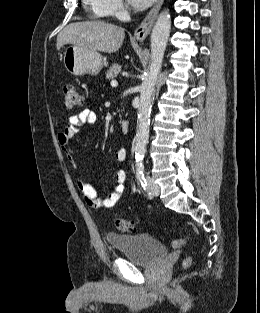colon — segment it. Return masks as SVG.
Returning a JSON list of instances; mask_svg holds the SVG:
<instances>
[{"instance_id":"colon-1","label":"colon","mask_w":260,"mask_h":313,"mask_svg":"<svg viewBox=\"0 0 260 313\" xmlns=\"http://www.w3.org/2000/svg\"><path fill=\"white\" fill-rule=\"evenodd\" d=\"M63 101L64 105L68 109L80 107L83 104V96L78 90L77 86L71 83L63 86ZM114 225L119 232L132 233L136 231L134 222L125 219L117 218L114 221ZM185 243L183 239H178L174 242L175 247H180ZM192 263V257L187 256L182 261V270H186Z\"/></svg>"}]
</instances>
